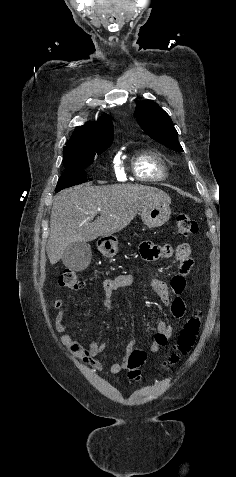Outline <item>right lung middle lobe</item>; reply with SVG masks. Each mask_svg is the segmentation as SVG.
Masks as SVG:
<instances>
[{
	"label": "right lung middle lobe",
	"instance_id": "right-lung-middle-lobe-1",
	"mask_svg": "<svg viewBox=\"0 0 236 477\" xmlns=\"http://www.w3.org/2000/svg\"><path fill=\"white\" fill-rule=\"evenodd\" d=\"M107 148L108 147L92 153L75 156L67 161H63L66 170L58 180L56 192L64 188L86 182L87 178L83 169L88 167L93 162L95 156L100 155Z\"/></svg>",
	"mask_w": 236,
	"mask_h": 477
}]
</instances>
